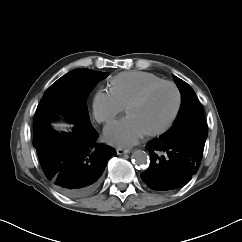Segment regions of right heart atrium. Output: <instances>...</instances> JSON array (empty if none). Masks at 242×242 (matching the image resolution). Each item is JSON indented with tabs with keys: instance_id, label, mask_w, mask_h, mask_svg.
<instances>
[{
	"instance_id": "1",
	"label": "right heart atrium",
	"mask_w": 242,
	"mask_h": 242,
	"mask_svg": "<svg viewBox=\"0 0 242 242\" xmlns=\"http://www.w3.org/2000/svg\"><path fill=\"white\" fill-rule=\"evenodd\" d=\"M93 114L100 123H108L124 110V105L111 89H99L92 102Z\"/></svg>"
}]
</instances>
